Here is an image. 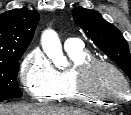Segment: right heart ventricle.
I'll list each match as a JSON object with an SVG mask.
<instances>
[{
  "label": "right heart ventricle",
  "mask_w": 131,
  "mask_h": 115,
  "mask_svg": "<svg viewBox=\"0 0 131 115\" xmlns=\"http://www.w3.org/2000/svg\"><path fill=\"white\" fill-rule=\"evenodd\" d=\"M68 57L70 58L72 62V66L70 69L59 72V81H60V88L58 93L56 94L55 98L57 99H65L69 102L73 103H80V104H87L90 106H102L103 103L84 98L80 96L78 93L75 92L73 88V71L74 69L88 61L94 58L93 54L86 48L80 47L75 49H65Z\"/></svg>",
  "instance_id": "1"
}]
</instances>
